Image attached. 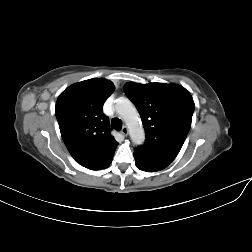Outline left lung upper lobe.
<instances>
[{
    "instance_id": "1",
    "label": "left lung upper lobe",
    "mask_w": 252,
    "mask_h": 252,
    "mask_svg": "<svg viewBox=\"0 0 252 252\" xmlns=\"http://www.w3.org/2000/svg\"><path fill=\"white\" fill-rule=\"evenodd\" d=\"M124 90L144 126L146 140L139 148L173 161L191 127L195 104L189 91L174 84L133 82Z\"/></svg>"
}]
</instances>
